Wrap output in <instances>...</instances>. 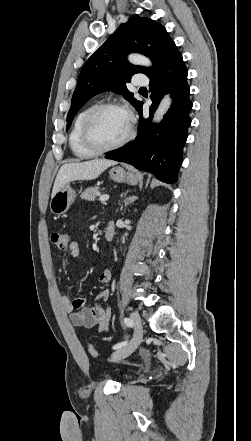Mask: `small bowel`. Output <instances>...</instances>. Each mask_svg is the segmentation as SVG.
<instances>
[{
  "label": "small bowel",
  "mask_w": 251,
  "mask_h": 441,
  "mask_svg": "<svg viewBox=\"0 0 251 441\" xmlns=\"http://www.w3.org/2000/svg\"><path fill=\"white\" fill-rule=\"evenodd\" d=\"M72 258H78L81 254L78 242L72 241L67 247ZM111 280L110 270H104L98 277L100 283L106 284ZM109 291H100L95 299L94 306H88L84 297L71 299L68 295L60 296V303L69 314V319L75 327L91 329L97 327L100 331H107L111 318V312L107 306Z\"/></svg>",
  "instance_id": "1"
}]
</instances>
